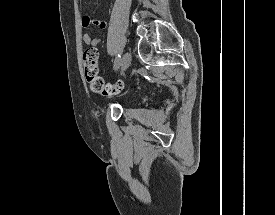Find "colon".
I'll return each instance as SVG.
<instances>
[{
  "instance_id": "5ec220e1",
  "label": "colon",
  "mask_w": 275,
  "mask_h": 215,
  "mask_svg": "<svg viewBox=\"0 0 275 215\" xmlns=\"http://www.w3.org/2000/svg\"><path fill=\"white\" fill-rule=\"evenodd\" d=\"M98 51L94 47L87 48L82 56L83 68L86 80L93 92L104 96H111L119 93L124 84L122 81H117L114 84H108L99 75Z\"/></svg>"
}]
</instances>
